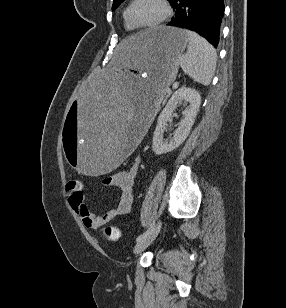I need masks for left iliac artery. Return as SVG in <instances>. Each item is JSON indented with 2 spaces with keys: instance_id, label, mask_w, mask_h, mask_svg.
Returning <instances> with one entry per match:
<instances>
[{
  "instance_id": "44dca946",
  "label": "left iliac artery",
  "mask_w": 286,
  "mask_h": 308,
  "mask_svg": "<svg viewBox=\"0 0 286 308\" xmlns=\"http://www.w3.org/2000/svg\"><path fill=\"white\" fill-rule=\"evenodd\" d=\"M154 228V223L151 225V227L149 229H147L145 232H143L141 235H139L136 239V241H140L142 240L143 238H145L151 231L152 229Z\"/></svg>"
}]
</instances>
